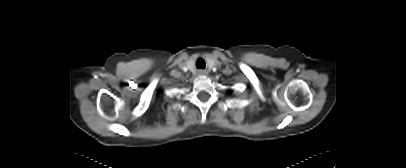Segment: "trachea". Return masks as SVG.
<instances>
[{
  "label": "trachea",
  "instance_id": "3493384b",
  "mask_svg": "<svg viewBox=\"0 0 406 168\" xmlns=\"http://www.w3.org/2000/svg\"><path fill=\"white\" fill-rule=\"evenodd\" d=\"M197 68H204L205 67V62L202 58H199L196 62Z\"/></svg>",
  "mask_w": 406,
  "mask_h": 168
}]
</instances>
